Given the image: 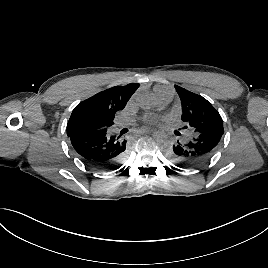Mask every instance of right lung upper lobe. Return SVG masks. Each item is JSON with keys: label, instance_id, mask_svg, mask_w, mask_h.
I'll use <instances>...</instances> for the list:
<instances>
[{"label": "right lung upper lobe", "instance_id": "cb5924a9", "mask_svg": "<svg viewBox=\"0 0 268 268\" xmlns=\"http://www.w3.org/2000/svg\"><path fill=\"white\" fill-rule=\"evenodd\" d=\"M138 87V83H131L126 86H115L99 92L80 102L73 110L70 119L82 115L113 122L115 113L124 109L126 103Z\"/></svg>", "mask_w": 268, "mask_h": 268}]
</instances>
